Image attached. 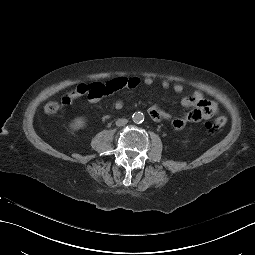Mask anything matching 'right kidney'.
<instances>
[{
    "instance_id": "obj_1",
    "label": "right kidney",
    "mask_w": 255,
    "mask_h": 255,
    "mask_svg": "<svg viewBox=\"0 0 255 255\" xmlns=\"http://www.w3.org/2000/svg\"><path fill=\"white\" fill-rule=\"evenodd\" d=\"M84 126V121L82 119H76L74 123L71 124L72 129H80Z\"/></svg>"
}]
</instances>
